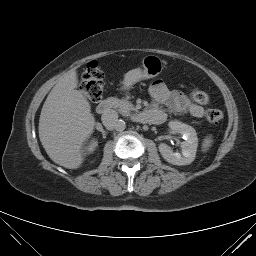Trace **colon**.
<instances>
[{
	"mask_svg": "<svg viewBox=\"0 0 256 256\" xmlns=\"http://www.w3.org/2000/svg\"><path fill=\"white\" fill-rule=\"evenodd\" d=\"M80 89L91 101L96 102L101 99L104 90V74L96 61L87 64L82 75ZM190 96L195 102L202 105H206L210 101L209 96L199 89H194ZM205 118L210 123H217L223 119V112L219 109H209Z\"/></svg>",
	"mask_w": 256,
	"mask_h": 256,
	"instance_id": "1",
	"label": "colon"
}]
</instances>
